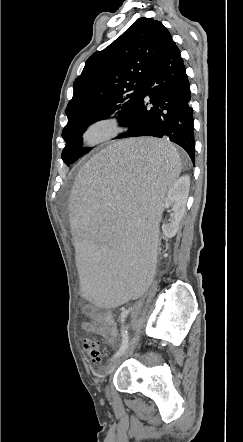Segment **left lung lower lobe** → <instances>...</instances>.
Masks as SVG:
<instances>
[{"instance_id":"obj_1","label":"left lung lower lobe","mask_w":243,"mask_h":442,"mask_svg":"<svg viewBox=\"0 0 243 442\" xmlns=\"http://www.w3.org/2000/svg\"><path fill=\"white\" fill-rule=\"evenodd\" d=\"M152 107L147 108L145 96ZM190 83L180 51L171 35L148 71L136 112L123 125L128 132L117 139L153 136L181 146L194 162L195 141Z\"/></svg>"}]
</instances>
